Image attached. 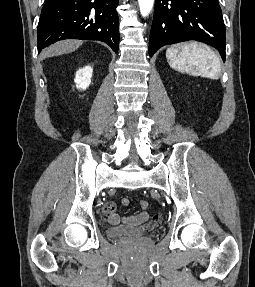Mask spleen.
Instances as JSON below:
<instances>
[{
    "label": "spleen",
    "instance_id": "spleen-1",
    "mask_svg": "<svg viewBox=\"0 0 255 287\" xmlns=\"http://www.w3.org/2000/svg\"><path fill=\"white\" fill-rule=\"evenodd\" d=\"M166 58L169 66L174 70L190 68L193 72H199L202 78L218 80L221 74V62L211 50L198 42H185L174 44L166 50Z\"/></svg>",
    "mask_w": 255,
    "mask_h": 287
}]
</instances>
